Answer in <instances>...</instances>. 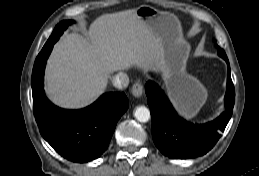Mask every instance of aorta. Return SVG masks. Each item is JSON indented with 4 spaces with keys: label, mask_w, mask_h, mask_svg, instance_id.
Segmentation results:
<instances>
[{
    "label": "aorta",
    "mask_w": 259,
    "mask_h": 176,
    "mask_svg": "<svg viewBox=\"0 0 259 176\" xmlns=\"http://www.w3.org/2000/svg\"><path fill=\"white\" fill-rule=\"evenodd\" d=\"M134 116L139 122L142 123L148 122L151 117L149 109L145 106L137 107L135 109Z\"/></svg>",
    "instance_id": "aorta-1"
}]
</instances>
